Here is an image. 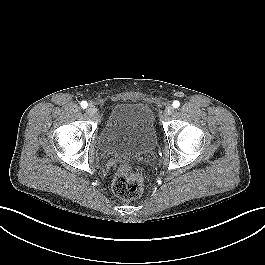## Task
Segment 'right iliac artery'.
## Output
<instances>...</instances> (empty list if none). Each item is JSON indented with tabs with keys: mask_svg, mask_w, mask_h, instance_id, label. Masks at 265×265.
Returning <instances> with one entry per match:
<instances>
[{
	"mask_svg": "<svg viewBox=\"0 0 265 265\" xmlns=\"http://www.w3.org/2000/svg\"><path fill=\"white\" fill-rule=\"evenodd\" d=\"M80 105H81V107H82L83 109H85V108H87L88 103H87L86 101H82Z\"/></svg>",
	"mask_w": 265,
	"mask_h": 265,
	"instance_id": "82829eb1",
	"label": "right iliac artery"
}]
</instances>
